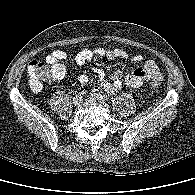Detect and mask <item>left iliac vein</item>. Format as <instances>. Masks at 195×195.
<instances>
[{"instance_id": "left-iliac-vein-1", "label": "left iliac vein", "mask_w": 195, "mask_h": 195, "mask_svg": "<svg viewBox=\"0 0 195 195\" xmlns=\"http://www.w3.org/2000/svg\"><path fill=\"white\" fill-rule=\"evenodd\" d=\"M88 98L92 101H97L99 103H104V98L102 95H99V94H95V93H90L88 95Z\"/></svg>"}]
</instances>
